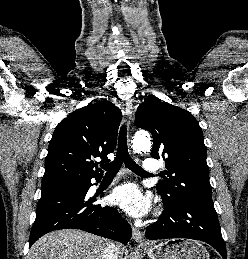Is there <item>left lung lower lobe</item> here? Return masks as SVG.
Wrapping results in <instances>:
<instances>
[{
  "mask_svg": "<svg viewBox=\"0 0 248 259\" xmlns=\"http://www.w3.org/2000/svg\"><path fill=\"white\" fill-rule=\"evenodd\" d=\"M163 204V214L146 230L147 239L201 240L213 246L226 259V247L213 204Z\"/></svg>",
  "mask_w": 248,
  "mask_h": 259,
  "instance_id": "obj_1",
  "label": "left lung lower lobe"
}]
</instances>
